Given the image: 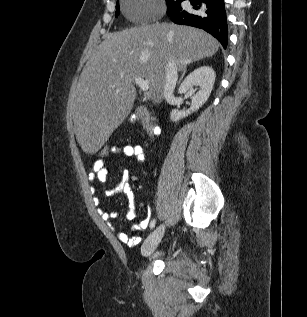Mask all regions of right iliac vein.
Listing matches in <instances>:
<instances>
[{
  "label": "right iliac vein",
  "mask_w": 307,
  "mask_h": 317,
  "mask_svg": "<svg viewBox=\"0 0 307 317\" xmlns=\"http://www.w3.org/2000/svg\"><path fill=\"white\" fill-rule=\"evenodd\" d=\"M164 230L165 226L160 225L147 237L141 248L143 256L148 257L153 254L164 235Z\"/></svg>",
  "instance_id": "obj_1"
}]
</instances>
